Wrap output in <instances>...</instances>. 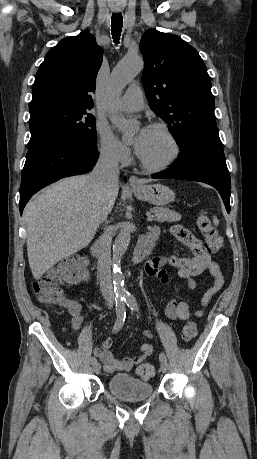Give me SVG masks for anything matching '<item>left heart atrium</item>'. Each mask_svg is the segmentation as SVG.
Returning <instances> with one entry per match:
<instances>
[{"instance_id":"obj_1","label":"left heart atrium","mask_w":257,"mask_h":459,"mask_svg":"<svg viewBox=\"0 0 257 459\" xmlns=\"http://www.w3.org/2000/svg\"><path fill=\"white\" fill-rule=\"evenodd\" d=\"M148 128H143L138 134L137 140H136V150L139 152V150L142 147L143 141L147 135Z\"/></svg>"}]
</instances>
